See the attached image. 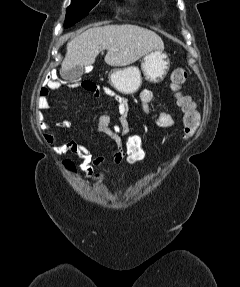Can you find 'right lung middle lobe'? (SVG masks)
<instances>
[{"label":"right lung middle lobe","instance_id":"1","mask_svg":"<svg viewBox=\"0 0 240 287\" xmlns=\"http://www.w3.org/2000/svg\"><path fill=\"white\" fill-rule=\"evenodd\" d=\"M100 0H71L67 8L64 27H70L85 17Z\"/></svg>","mask_w":240,"mask_h":287}]
</instances>
